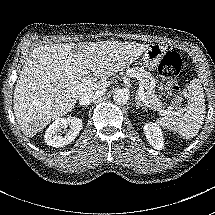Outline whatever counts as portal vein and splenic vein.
<instances>
[{
    "label": "portal vein and splenic vein",
    "instance_id": "1",
    "mask_svg": "<svg viewBox=\"0 0 215 215\" xmlns=\"http://www.w3.org/2000/svg\"><path fill=\"white\" fill-rule=\"evenodd\" d=\"M127 75L129 76H132L134 77L136 80L139 81V84H138V97L141 101H143L144 103V106H146L148 109H150L151 111H155L156 113H163L164 115H167V114H170L171 113V110L170 109H167V110H157L154 106L151 105V103L149 101H147V98H146V87H145V79L142 78L140 75H138L137 73H135L133 70H128ZM84 79V84H88L90 85L91 82L93 81L92 80V77L90 75V73H88L87 75H85L83 77Z\"/></svg>",
    "mask_w": 215,
    "mask_h": 215
}]
</instances>
